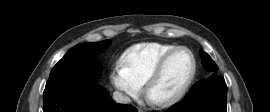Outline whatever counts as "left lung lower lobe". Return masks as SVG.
I'll use <instances>...</instances> for the list:
<instances>
[{
  "label": "left lung lower lobe",
  "instance_id": "left-lung-lower-lobe-1",
  "mask_svg": "<svg viewBox=\"0 0 270 112\" xmlns=\"http://www.w3.org/2000/svg\"><path fill=\"white\" fill-rule=\"evenodd\" d=\"M166 112H227V86L222 76H217L186 99Z\"/></svg>",
  "mask_w": 270,
  "mask_h": 112
}]
</instances>
